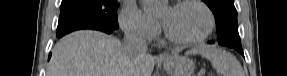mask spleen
I'll return each instance as SVG.
<instances>
[{
    "mask_svg": "<svg viewBox=\"0 0 287 76\" xmlns=\"http://www.w3.org/2000/svg\"><path fill=\"white\" fill-rule=\"evenodd\" d=\"M187 54H200L209 60L212 67L221 76H244L241 64L231 53L215 46H201L193 48Z\"/></svg>",
    "mask_w": 287,
    "mask_h": 76,
    "instance_id": "3e777b00",
    "label": "spleen"
}]
</instances>
